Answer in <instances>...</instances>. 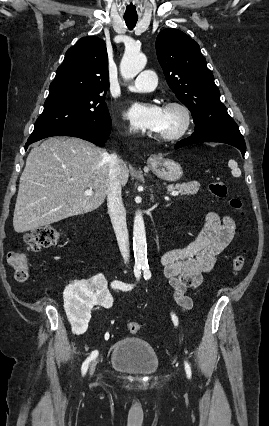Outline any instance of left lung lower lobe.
<instances>
[{
  "label": "left lung lower lobe",
  "instance_id": "1",
  "mask_svg": "<svg viewBox=\"0 0 269 426\" xmlns=\"http://www.w3.org/2000/svg\"><path fill=\"white\" fill-rule=\"evenodd\" d=\"M202 142H221L235 146L243 157L246 152L244 138L229 114L210 116L206 122L197 123L193 134L177 142L175 149Z\"/></svg>",
  "mask_w": 269,
  "mask_h": 426
}]
</instances>
